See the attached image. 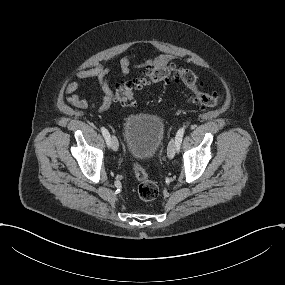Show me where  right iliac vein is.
<instances>
[{
    "mask_svg": "<svg viewBox=\"0 0 285 285\" xmlns=\"http://www.w3.org/2000/svg\"><path fill=\"white\" fill-rule=\"evenodd\" d=\"M110 146L114 151L118 150L119 143H118L117 138L114 135L110 136Z\"/></svg>",
    "mask_w": 285,
    "mask_h": 285,
    "instance_id": "1",
    "label": "right iliac vein"
}]
</instances>
